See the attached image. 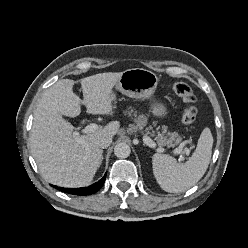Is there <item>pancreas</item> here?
I'll return each mask as SVG.
<instances>
[{
	"mask_svg": "<svg viewBox=\"0 0 248 248\" xmlns=\"http://www.w3.org/2000/svg\"><path fill=\"white\" fill-rule=\"evenodd\" d=\"M128 116H137V111H134L133 108H129L124 112ZM148 130H152V127H149ZM166 127L162 128V133L157 132V136L155 137V140L159 146H166V145H172V144H179L181 142V137L178 135L176 132H168L166 133ZM148 134H151L152 136L155 135L154 131L149 132L147 131Z\"/></svg>",
	"mask_w": 248,
	"mask_h": 248,
	"instance_id": "pancreas-1",
	"label": "pancreas"
}]
</instances>
